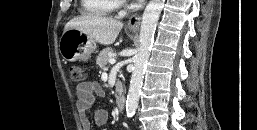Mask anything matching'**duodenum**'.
<instances>
[{
	"instance_id": "410a0bca",
	"label": "duodenum",
	"mask_w": 257,
	"mask_h": 130,
	"mask_svg": "<svg viewBox=\"0 0 257 130\" xmlns=\"http://www.w3.org/2000/svg\"><path fill=\"white\" fill-rule=\"evenodd\" d=\"M116 105L119 112H122L125 109V97L123 95L117 97Z\"/></svg>"
}]
</instances>
